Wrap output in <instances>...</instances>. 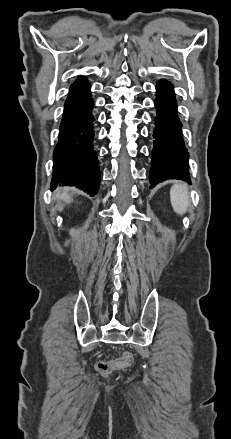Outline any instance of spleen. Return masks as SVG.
Wrapping results in <instances>:
<instances>
[{
	"mask_svg": "<svg viewBox=\"0 0 231 439\" xmlns=\"http://www.w3.org/2000/svg\"><path fill=\"white\" fill-rule=\"evenodd\" d=\"M170 199L174 211L182 215L186 212L189 204L188 190L185 184L177 183L170 190Z\"/></svg>",
	"mask_w": 231,
	"mask_h": 439,
	"instance_id": "obj_1",
	"label": "spleen"
}]
</instances>
